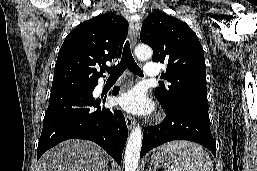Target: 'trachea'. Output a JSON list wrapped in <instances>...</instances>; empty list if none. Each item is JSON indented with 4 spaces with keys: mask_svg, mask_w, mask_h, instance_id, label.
I'll return each mask as SVG.
<instances>
[{
    "mask_svg": "<svg viewBox=\"0 0 257 171\" xmlns=\"http://www.w3.org/2000/svg\"><path fill=\"white\" fill-rule=\"evenodd\" d=\"M127 68L132 73L143 77L142 70L132 57L129 41H127L124 45L122 58L118 65L111 68H106V71L110 74V77H119Z\"/></svg>",
    "mask_w": 257,
    "mask_h": 171,
    "instance_id": "trachea-1",
    "label": "trachea"
}]
</instances>
